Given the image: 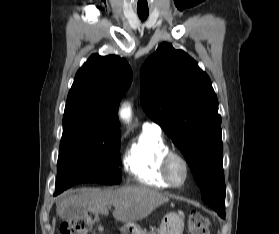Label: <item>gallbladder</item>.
Instances as JSON below:
<instances>
[{
  "instance_id": "gallbladder-1",
  "label": "gallbladder",
  "mask_w": 279,
  "mask_h": 234,
  "mask_svg": "<svg viewBox=\"0 0 279 234\" xmlns=\"http://www.w3.org/2000/svg\"><path fill=\"white\" fill-rule=\"evenodd\" d=\"M86 215V209L81 205H70L62 215L65 220L83 217Z\"/></svg>"
}]
</instances>
